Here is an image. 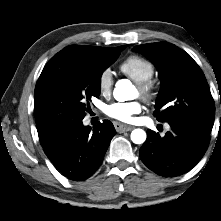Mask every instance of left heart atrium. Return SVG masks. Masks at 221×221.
<instances>
[{
    "instance_id": "obj_1",
    "label": "left heart atrium",
    "mask_w": 221,
    "mask_h": 221,
    "mask_svg": "<svg viewBox=\"0 0 221 221\" xmlns=\"http://www.w3.org/2000/svg\"><path fill=\"white\" fill-rule=\"evenodd\" d=\"M142 110L141 104L137 101L117 102L106 108V114L122 122H131L135 115Z\"/></svg>"
}]
</instances>
